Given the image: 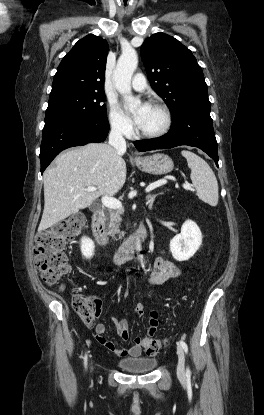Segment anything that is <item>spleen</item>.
<instances>
[{
  "label": "spleen",
  "mask_w": 264,
  "mask_h": 415,
  "mask_svg": "<svg viewBox=\"0 0 264 415\" xmlns=\"http://www.w3.org/2000/svg\"><path fill=\"white\" fill-rule=\"evenodd\" d=\"M182 156L187 159L191 169V180L198 198L205 203L216 206L218 204V182L207 162L191 151L183 150Z\"/></svg>",
  "instance_id": "spleen-1"
}]
</instances>
